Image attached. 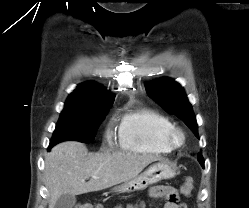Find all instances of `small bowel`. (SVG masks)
Instances as JSON below:
<instances>
[{
	"instance_id": "small-bowel-1",
	"label": "small bowel",
	"mask_w": 249,
	"mask_h": 208,
	"mask_svg": "<svg viewBox=\"0 0 249 208\" xmlns=\"http://www.w3.org/2000/svg\"><path fill=\"white\" fill-rule=\"evenodd\" d=\"M150 195L164 198L166 200L164 208H186L184 203L179 202L176 190L170 186H154L150 189Z\"/></svg>"
}]
</instances>
